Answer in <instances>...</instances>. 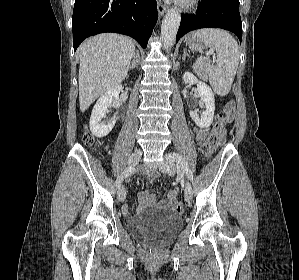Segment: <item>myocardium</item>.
Masks as SVG:
<instances>
[{"mask_svg":"<svg viewBox=\"0 0 299 280\" xmlns=\"http://www.w3.org/2000/svg\"><path fill=\"white\" fill-rule=\"evenodd\" d=\"M199 0H180V6L184 9L193 8Z\"/></svg>","mask_w":299,"mask_h":280,"instance_id":"f54148a6","label":"myocardium"}]
</instances>
